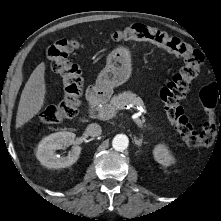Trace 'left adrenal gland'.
Returning <instances> with one entry per match:
<instances>
[{"label": "left adrenal gland", "mask_w": 221, "mask_h": 221, "mask_svg": "<svg viewBox=\"0 0 221 221\" xmlns=\"http://www.w3.org/2000/svg\"><path fill=\"white\" fill-rule=\"evenodd\" d=\"M134 142L138 147H141L142 143H143V137H141L140 139H137L136 137L134 138Z\"/></svg>", "instance_id": "a2214340"}]
</instances>
